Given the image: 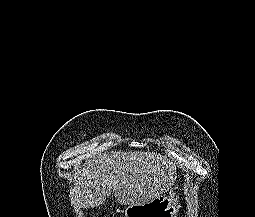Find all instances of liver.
<instances>
[{
    "label": "liver",
    "instance_id": "6515ba94",
    "mask_svg": "<svg viewBox=\"0 0 255 217\" xmlns=\"http://www.w3.org/2000/svg\"><path fill=\"white\" fill-rule=\"evenodd\" d=\"M177 178L176 165L154 152L111 151L81 164L75 174L71 203L94 208L113 191L121 205H141L169 190Z\"/></svg>",
    "mask_w": 255,
    "mask_h": 217
}]
</instances>
